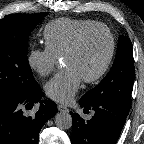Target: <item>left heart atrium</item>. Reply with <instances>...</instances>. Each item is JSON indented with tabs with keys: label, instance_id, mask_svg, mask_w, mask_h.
<instances>
[{
	"label": "left heart atrium",
	"instance_id": "left-heart-atrium-1",
	"mask_svg": "<svg viewBox=\"0 0 144 144\" xmlns=\"http://www.w3.org/2000/svg\"><path fill=\"white\" fill-rule=\"evenodd\" d=\"M82 80V76L75 68L67 67L46 84V94L56 102L68 103L80 88Z\"/></svg>",
	"mask_w": 144,
	"mask_h": 144
}]
</instances>
